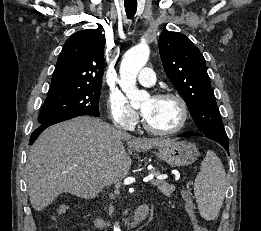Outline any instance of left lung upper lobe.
<instances>
[{"label":"left lung upper lobe","instance_id":"5c2ea615","mask_svg":"<svg viewBox=\"0 0 261 231\" xmlns=\"http://www.w3.org/2000/svg\"><path fill=\"white\" fill-rule=\"evenodd\" d=\"M159 52L169 80L186 101L198 129L208 138L228 140L199 49L185 35L163 30Z\"/></svg>","mask_w":261,"mask_h":231}]
</instances>
